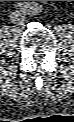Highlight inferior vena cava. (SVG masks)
Here are the masks:
<instances>
[{
	"label": "inferior vena cava",
	"instance_id": "obj_1",
	"mask_svg": "<svg viewBox=\"0 0 74 122\" xmlns=\"http://www.w3.org/2000/svg\"><path fill=\"white\" fill-rule=\"evenodd\" d=\"M24 21V14L19 12V11H15L12 14V22L14 24L20 25L22 24Z\"/></svg>",
	"mask_w": 74,
	"mask_h": 122
}]
</instances>
